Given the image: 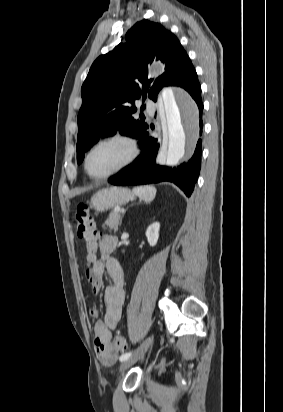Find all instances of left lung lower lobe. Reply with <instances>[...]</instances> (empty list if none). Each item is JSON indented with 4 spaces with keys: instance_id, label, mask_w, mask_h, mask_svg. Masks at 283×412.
<instances>
[{
    "instance_id": "1",
    "label": "left lung lower lobe",
    "mask_w": 283,
    "mask_h": 412,
    "mask_svg": "<svg viewBox=\"0 0 283 412\" xmlns=\"http://www.w3.org/2000/svg\"><path fill=\"white\" fill-rule=\"evenodd\" d=\"M176 86H180L189 92L198 105L201 117L203 110L201 87L195 69L193 68L184 77L180 78ZM202 126L200 121V128ZM135 138L139 140L142 153L133 164L110 177L108 182L113 185H139L168 181L176 184L186 196H191L200 173L201 140L198 141L194 155L188 162L183 163L177 168H171L155 164L159 142L156 138L152 137L149 126L142 130Z\"/></svg>"
}]
</instances>
